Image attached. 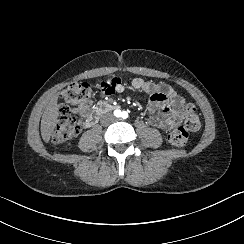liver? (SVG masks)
<instances>
[{
  "mask_svg": "<svg viewBox=\"0 0 244 244\" xmlns=\"http://www.w3.org/2000/svg\"><path fill=\"white\" fill-rule=\"evenodd\" d=\"M58 98V94L51 96L49 104L47 105L46 110L42 116L41 136L45 143L50 141V138L56 129L60 109Z\"/></svg>",
  "mask_w": 244,
  "mask_h": 244,
  "instance_id": "6515ba94",
  "label": "liver"
}]
</instances>
